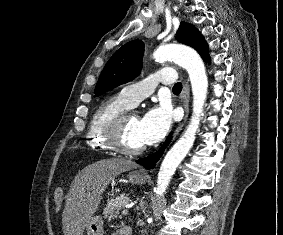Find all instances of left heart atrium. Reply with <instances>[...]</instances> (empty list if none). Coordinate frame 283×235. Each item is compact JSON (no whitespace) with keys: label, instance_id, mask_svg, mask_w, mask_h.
Masks as SVG:
<instances>
[{"label":"left heart atrium","instance_id":"left-heart-atrium-1","mask_svg":"<svg viewBox=\"0 0 283 235\" xmlns=\"http://www.w3.org/2000/svg\"><path fill=\"white\" fill-rule=\"evenodd\" d=\"M171 125V110L166 104H161L149 110L139 120V134L144 144H154L160 141Z\"/></svg>","mask_w":283,"mask_h":235}]
</instances>
